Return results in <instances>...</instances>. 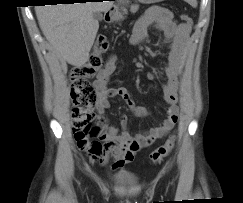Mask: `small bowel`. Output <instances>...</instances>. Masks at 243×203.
<instances>
[{"mask_svg": "<svg viewBox=\"0 0 243 203\" xmlns=\"http://www.w3.org/2000/svg\"><path fill=\"white\" fill-rule=\"evenodd\" d=\"M152 25H156L164 33L169 46L167 64L164 68L166 80L163 84V99L167 104L166 118L162 122L137 136H132L127 131L126 115L120 117V128L107 125L104 113L110 107L109 99L113 97H120L137 117H145L148 112L145 107L136 105L126 88L108 87L109 79L116 71L115 55L109 56L106 67L96 77L99 115L92 128L88 145L78 147L95 161L100 163L111 161L113 169H120L133 162L137 152L150 146L156 139L164 137L178 121V75L188 47L190 28L185 23H178L168 9L153 6L135 23L130 39L131 44L141 45L146 39L148 28ZM154 77L153 74L148 75L150 80Z\"/></svg>", "mask_w": 243, "mask_h": 203, "instance_id": "1", "label": "small bowel"}]
</instances>
